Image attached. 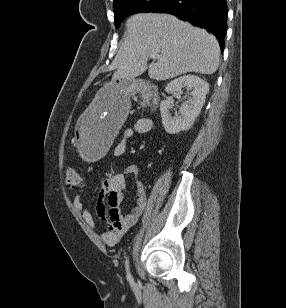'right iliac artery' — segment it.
<instances>
[{"label": "right iliac artery", "mask_w": 286, "mask_h": 308, "mask_svg": "<svg viewBox=\"0 0 286 308\" xmlns=\"http://www.w3.org/2000/svg\"><path fill=\"white\" fill-rule=\"evenodd\" d=\"M125 266H126L127 278H128V280H129L130 283H133V278H132V276H131V274H130V271H129L128 259L126 260Z\"/></svg>", "instance_id": "1"}]
</instances>
